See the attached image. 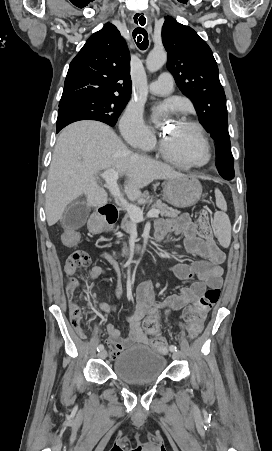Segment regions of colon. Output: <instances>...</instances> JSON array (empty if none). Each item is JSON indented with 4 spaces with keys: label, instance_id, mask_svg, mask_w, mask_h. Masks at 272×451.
<instances>
[{
    "label": "colon",
    "instance_id": "1",
    "mask_svg": "<svg viewBox=\"0 0 272 451\" xmlns=\"http://www.w3.org/2000/svg\"><path fill=\"white\" fill-rule=\"evenodd\" d=\"M210 214L206 210L202 211L197 219L198 227L203 231L202 236L204 240L203 247L213 250L216 244L211 238V226L209 223ZM65 246L67 250H76L78 247V235L75 230H65L63 232ZM90 264V256L84 251H74L69 254L66 267L67 269L77 270L78 268H85ZM70 285V284H69ZM220 291L218 289H209L201 295L194 305L187 307L183 312V317L187 322L188 331L191 335H196L200 332L203 319L206 313L213 308L219 301ZM72 324L74 328L79 331L81 337L84 336L79 322V312L74 309L71 311ZM153 348L159 353L166 354L168 352V339L154 338L152 342Z\"/></svg>",
    "mask_w": 272,
    "mask_h": 451
}]
</instances>
